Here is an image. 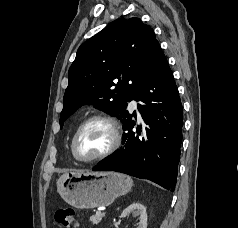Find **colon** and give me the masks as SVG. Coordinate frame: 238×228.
I'll return each mask as SVG.
<instances>
[{"label":"colon","instance_id":"colon-1","mask_svg":"<svg viewBox=\"0 0 238 228\" xmlns=\"http://www.w3.org/2000/svg\"><path fill=\"white\" fill-rule=\"evenodd\" d=\"M54 218L57 224L64 228H76L78 221L73 208H60L55 211Z\"/></svg>","mask_w":238,"mask_h":228}]
</instances>
